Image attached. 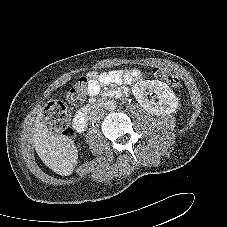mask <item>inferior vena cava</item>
<instances>
[{
    "label": "inferior vena cava",
    "mask_w": 227,
    "mask_h": 227,
    "mask_svg": "<svg viewBox=\"0 0 227 227\" xmlns=\"http://www.w3.org/2000/svg\"><path fill=\"white\" fill-rule=\"evenodd\" d=\"M104 116V109L103 108H94L90 113V120L96 122L100 120Z\"/></svg>",
    "instance_id": "inferior-vena-cava-1"
}]
</instances>
